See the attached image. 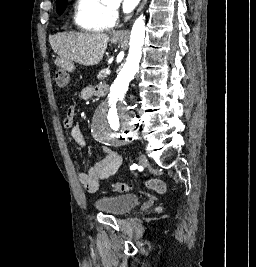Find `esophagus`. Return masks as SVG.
Returning a JSON list of instances; mask_svg holds the SVG:
<instances>
[{
  "instance_id": "1",
  "label": "esophagus",
  "mask_w": 256,
  "mask_h": 267,
  "mask_svg": "<svg viewBox=\"0 0 256 267\" xmlns=\"http://www.w3.org/2000/svg\"><path fill=\"white\" fill-rule=\"evenodd\" d=\"M146 1L147 0H141L140 6H139L136 14H138L139 12H141V10L144 7ZM126 35H127V31L126 30H119L118 32H116L114 34V36H126Z\"/></svg>"
}]
</instances>
